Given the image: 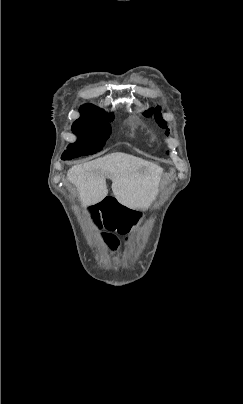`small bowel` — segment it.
Segmentation results:
<instances>
[{
	"label": "small bowel",
	"mask_w": 243,
	"mask_h": 404,
	"mask_svg": "<svg viewBox=\"0 0 243 404\" xmlns=\"http://www.w3.org/2000/svg\"><path fill=\"white\" fill-rule=\"evenodd\" d=\"M95 229L109 247L116 249L120 237H130L139 226L140 213L111 194H106L88 209Z\"/></svg>",
	"instance_id": "c3829d8e"
}]
</instances>
